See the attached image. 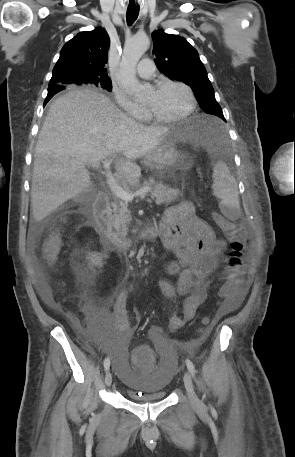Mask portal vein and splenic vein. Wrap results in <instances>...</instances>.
<instances>
[{
	"instance_id": "18ae733b",
	"label": "portal vein and splenic vein",
	"mask_w": 295,
	"mask_h": 457,
	"mask_svg": "<svg viewBox=\"0 0 295 457\" xmlns=\"http://www.w3.org/2000/svg\"><path fill=\"white\" fill-rule=\"evenodd\" d=\"M112 163V159H107L103 162V167L105 169V176L107 179V184L110 187L112 193L117 196L118 198L125 200V201H132L136 196L144 197L151 188L149 186L143 187L140 190L136 191L135 193H129L124 190L120 184L116 181L115 177L113 176L112 172L110 171V165Z\"/></svg>"
}]
</instances>
